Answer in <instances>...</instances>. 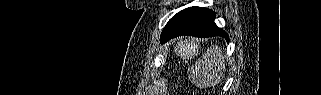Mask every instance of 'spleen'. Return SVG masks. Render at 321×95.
<instances>
[{
	"label": "spleen",
	"instance_id": "3e777b00",
	"mask_svg": "<svg viewBox=\"0 0 321 95\" xmlns=\"http://www.w3.org/2000/svg\"><path fill=\"white\" fill-rule=\"evenodd\" d=\"M225 70L222 49L213 46L195 62L194 67L190 69V77L192 82L200 88L214 87L224 77Z\"/></svg>",
	"mask_w": 321,
	"mask_h": 95
}]
</instances>
